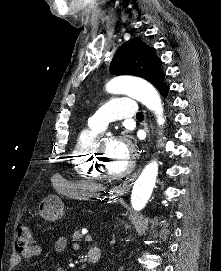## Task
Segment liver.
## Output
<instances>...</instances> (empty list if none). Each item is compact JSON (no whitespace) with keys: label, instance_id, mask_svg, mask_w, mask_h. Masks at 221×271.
<instances>
[{"label":"liver","instance_id":"6515ba94","mask_svg":"<svg viewBox=\"0 0 221 271\" xmlns=\"http://www.w3.org/2000/svg\"><path fill=\"white\" fill-rule=\"evenodd\" d=\"M105 189L101 183H93V181H81V183H67L65 195L74 197V199H87L93 197L95 191Z\"/></svg>","mask_w":221,"mask_h":271}]
</instances>
